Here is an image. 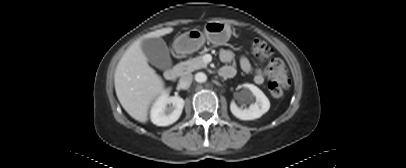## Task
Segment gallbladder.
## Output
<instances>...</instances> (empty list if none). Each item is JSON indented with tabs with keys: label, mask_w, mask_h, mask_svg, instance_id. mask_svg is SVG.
Instances as JSON below:
<instances>
[{
	"label": "gallbladder",
	"mask_w": 406,
	"mask_h": 168,
	"mask_svg": "<svg viewBox=\"0 0 406 168\" xmlns=\"http://www.w3.org/2000/svg\"><path fill=\"white\" fill-rule=\"evenodd\" d=\"M141 48L148 61L160 70L172 66L169 49L162 38H148L141 43Z\"/></svg>",
	"instance_id": "gallbladder-1"
}]
</instances>
